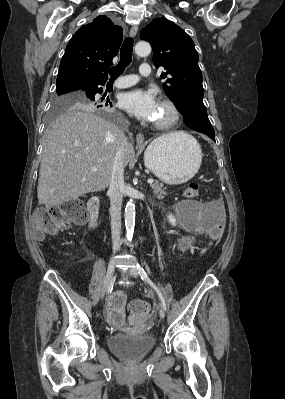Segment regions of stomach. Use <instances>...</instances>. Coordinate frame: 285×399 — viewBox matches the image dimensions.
Masks as SVG:
<instances>
[{
	"label": "stomach",
	"mask_w": 285,
	"mask_h": 399,
	"mask_svg": "<svg viewBox=\"0 0 285 399\" xmlns=\"http://www.w3.org/2000/svg\"><path fill=\"white\" fill-rule=\"evenodd\" d=\"M202 155L197 141L185 134L181 139L159 137L144 152L145 166L162 182L184 183L199 170Z\"/></svg>",
	"instance_id": "0dacf381"
}]
</instances>
